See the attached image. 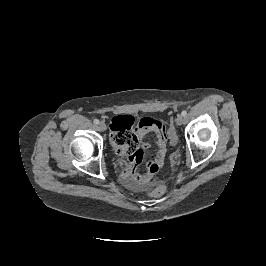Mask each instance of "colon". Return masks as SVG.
Here are the masks:
<instances>
[{
    "label": "colon",
    "instance_id": "5ec220e1",
    "mask_svg": "<svg viewBox=\"0 0 266 266\" xmlns=\"http://www.w3.org/2000/svg\"><path fill=\"white\" fill-rule=\"evenodd\" d=\"M165 193L166 187L164 185H156L149 191V195L155 198L162 197Z\"/></svg>",
    "mask_w": 266,
    "mask_h": 266
}]
</instances>
